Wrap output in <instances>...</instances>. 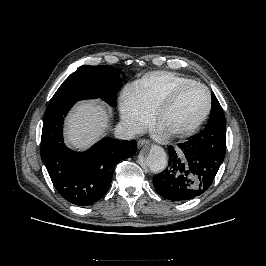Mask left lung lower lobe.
<instances>
[{
  "mask_svg": "<svg viewBox=\"0 0 266 266\" xmlns=\"http://www.w3.org/2000/svg\"><path fill=\"white\" fill-rule=\"evenodd\" d=\"M168 167L153 177L156 191L172 201L191 200L212 184L224 156L211 155L189 141L169 146Z\"/></svg>",
  "mask_w": 266,
  "mask_h": 266,
  "instance_id": "1",
  "label": "left lung lower lobe"
}]
</instances>
